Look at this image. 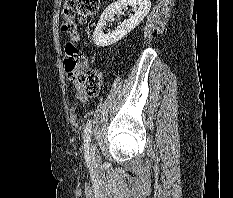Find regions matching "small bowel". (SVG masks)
Returning <instances> with one entry per match:
<instances>
[{"label": "small bowel", "instance_id": "c3829d8e", "mask_svg": "<svg viewBox=\"0 0 233 198\" xmlns=\"http://www.w3.org/2000/svg\"><path fill=\"white\" fill-rule=\"evenodd\" d=\"M88 95L83 93V92H80L78 91L77 92V98L81 101V102H85L87 99H88Z\"/></svg>", "mask_w": 233, "mask_h": 198}]
</instances>
